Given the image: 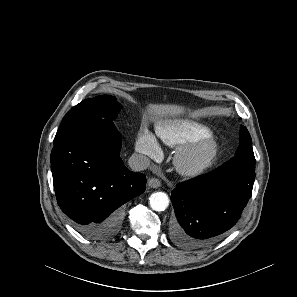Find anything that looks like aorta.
I'll return each mask as SVG.
<instances>
[{
  "label": "aorta",
  "instance_id": "aorta-1",
  "mask_svg": "<svg viewBox=\"0 0 297 297\" xmlns=\"http://www.w3.org/2000/svg\"><path fill=\"white\" fill-rule=\"evenodd\" d=\"M149 202L153 210L164 211L169 205V198L164 192H155L149 197Z\"/></svg>",
  "mask_w": 297,
  "mask_h": 297
}]
</instances>
